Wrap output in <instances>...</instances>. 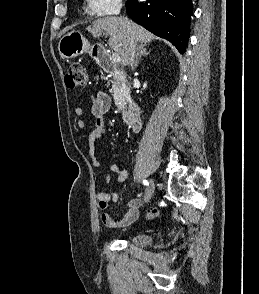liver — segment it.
Segmentation results:
<instances>
[{
    "mask_svg": "<svg viewBox=\"0 0 259 294\" xmlns=\"http://www.w3.org/2000/svg\"><path fill=\"white\" fill-rule=\"evenodd\" d=\"M87 30L94 36L99 37L102 34L109 35V47L120 55L124 66L129 61V44L134 41L136 44H148L155 39V36L145 28L129 20V27L124 23L121 17H105L92 23Z\"/></svg>",
    "mask_w": 259,
    "mask_h": 294,
    "instance_id": "1",
    "label": "liver"
}]
</instances>
